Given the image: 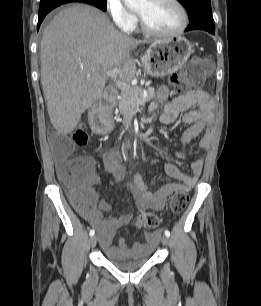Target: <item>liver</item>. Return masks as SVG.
<instances>
[{
	"instance_id": "obj_1",
	"label": "liver",
	"mask_w": 261,
	"mask_h": 306,
	"mask_svg": "<svg viewBox=\"0 0 261 306\" xmlns=\"http://www.w3.org/2000/svg\"><path fill=\"white\" fill-rule=\"evenodd\" d=\"M119 32L99 9L72 5L54 16L41 41V83L50 121L57 132L71 133L82 113L102 95L104 73L118 68L131 81L136 65L130 51L145 44Z\"/></svg>"
}]
</instances>
